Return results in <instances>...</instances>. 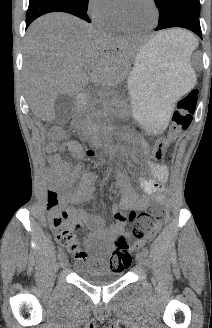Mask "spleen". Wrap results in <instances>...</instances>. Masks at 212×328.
<instances>
[{
    "instance_id": "obj_1",
    "label": "spleen",
    "mask_w": 212,
    "mask_h": 328,
    "mask_svg": "<svg viewBox=\"0 0 212 328\" xmlns=\"http://www.w3.org/2000/svg\"><path fill=\"white\" fill-rule=\"evenodd\" d=\"M178 35L174 39V44L177 45L188 57L198 46L197 38L190 32L178 30Z\"/></svg>"
}]
</instances>
